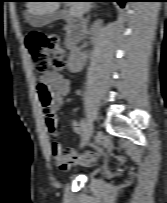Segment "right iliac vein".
Returning <instances> with one entry per match:
<instances>
[{"mask_svg":"<svg viewBox=\"0 0 167 203\" xmlns=\"http://www.w3.org/2000/svg\"><path fill=\"white\" fill-rule=\"evenodd\" d=\"M93 130H94L93 123L91 121H88L87 127L83 133L81 148L84 147L86 145V143L90 140V138L93 134Z\"/></svg>","mask_w":167,"mask_h":203,"instance_id":"obj_1","label":"right iliac vein"}]
</instances>
